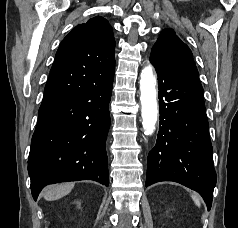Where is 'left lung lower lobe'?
Wrapping results in <instances>:
<instances>
[{
  "label": "left lung lower lobe",
  "instance_id": "obj_1",
  "mask_svg": "<svg viewBox=\"0 0 238 228\" xmlns=\"http://www.w3.org/2000/svg\"><path fill=\"white\" fill-rule=\"evenodd\" d=\"M158 75L160 123L149 152L145 186L174 181L200 193L212 205L216 172L203 88L194 72L151 55Z\"/></svg>",
  "mask_w": 238,
  "mask_h": 228
}]
</instances>
